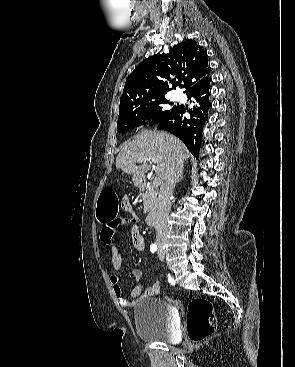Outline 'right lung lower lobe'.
<instances>
[{"label":"right lung lower lobe","instance_id":"right-lung-lower-lobe-1","mask_svg":"<svg viewBox=\"0 0 295 367\" xmlns=\"http://www.w3.org/2000/svg\"><path fill=\"white\" fill-rule=\"evenodd\" d=\"M210 81L206 84L189 91L187 96L193 97V108L188 110L190 117H185L186 112L184 106L178 108L158 122L157 128L159 130H167L180 138L189 151L199 157V151L202 142V132L205 121L207 120V111L211 104L209 102L210 96Z\"/></svg>","mask_w":295,"mask_h":367}]
</instances>
